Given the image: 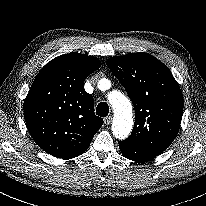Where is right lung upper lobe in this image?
Segmentation results:
<instances>
[{
    "label": "right lung upper lobe",
    "instance_id": "obj_1",
    "mask_svg": "<svg viewBox=\"0 0 206 206\" xmlns=\"http://www.w3.org/2000/svg\"><path fill=\"white\" fill-rule=\"evenodd\" d=\"M99 59L69 53L51 60L36 76L24 102V118L37 145L48 154L70 159L84 153L103 124L84 89Z\"/></svg>",
    "mask_w": 206,
    "mask_h": 206
}]
</instances>
